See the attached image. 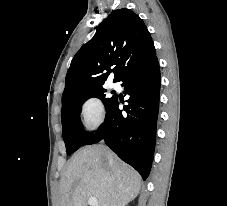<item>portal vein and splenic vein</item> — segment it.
<instances>
[{"mask_svg":"<svg viewBox=\"0 0 227 206\" xmlns=\"http://www.w3.org/2000/svg\"><path fill=\"white\" fill-rule=\"evenodd\" d=\"M88 203H89L90 206H99L97 199L95 197H90L88 199Z\"/></svg>","mask_w":227,"mask_h":206,"instance_id":"18ae733b","label":"portal vein and splenic vein"}]
</instances>
